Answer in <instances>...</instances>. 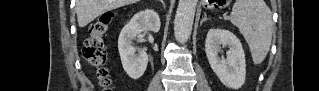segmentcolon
Returning <instances> with one entry per match:
<instances>
[{
    "label": "colon",
    "mask_w": 319,
    "mask_h": 91,
    "mask_svg": "<svg viewBox=\"0 0 319 91\" xmlns=\"http://www.w3.org/2000/svg\"><path fill=\"white\" fill-rule=\"evenodd\" d=\"M112 20V14L101 15L90 27V35L83 46V57L88 65L95 70L96 76L104 90H110V80L105 68L106 51L104 48V35Z\"/></svg>",
    "instance_id": "colon-1"
}]
</instances>
